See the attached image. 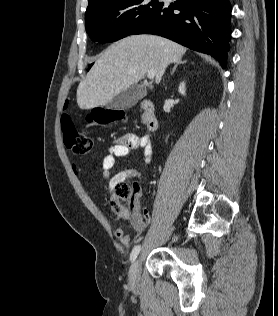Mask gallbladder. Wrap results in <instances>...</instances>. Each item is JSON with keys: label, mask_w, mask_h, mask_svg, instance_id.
I'll return each mask as SVG.
<instances>
[{"label": "gallbladder", "mask_w": 278, "mask_h": 316, "mask_svg": "<svg viewBox=\"0 0 278 316\" xmlns=\"http://www.w3.org/2000/svg\"><path fill=\"white\" fill-rule=\"evenodd\" d=\"M146 94L147 91L145 86L137 84L132 85L109 101L107 103V108L114 110L129 109L144 98Z\"/></svg>", "instance_id": "bac80fb5"}]
</instances>
